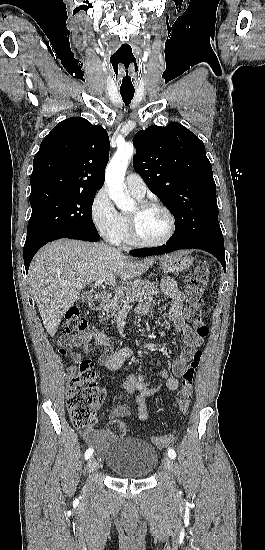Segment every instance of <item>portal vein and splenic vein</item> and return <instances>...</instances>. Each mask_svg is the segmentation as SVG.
Wrapping results in <instances>:
<instances>
[{
    "mask_svg": "<svg viewBox=\"0 0 265 550\" xmlns=\"http://www.w3.org/2000/svg\"><path fill=\"white\" fill-rule=\"evenodd\" d=\"M103 282H104L103 279H98L97 281H95V286L102 285ZM134 301H136V298H134V297L128 298L126 301H124V304H125V306H127V304L132 303Z\"/></svg>",
    "mask_w": 265,
    "mask_h": 550,
    "instance_id": "portal-vein-and-splenic-vein-1",
    "label": "portal vein and splenic vein"
}]
</instances>
